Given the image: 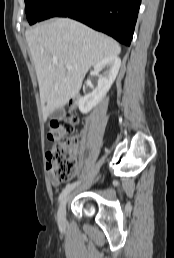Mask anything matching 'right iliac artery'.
<instances>
[{
    "label": "right iliac artery",
    "instance_id": "right-iliac-artery-1",
    "mask_svg": "<svg viewBox=\"0 0 174 258\" xmlns=\"http://www.w3.org/2000/svg\"><path fill=\"white\" fill-rule=\"evenodd\" d=\"M81 181L69 183L66 185L64 190L59 195V201H61L64 197H66L78 184H80Z\"/></svg>",
    "mask_w": 174,
    "mask_h": 258
}]
</instances>
